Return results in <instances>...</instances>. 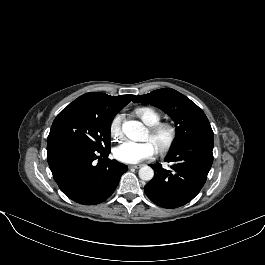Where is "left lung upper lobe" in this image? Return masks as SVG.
I'll use <instances>...</instances> for the list:
<instances>
[{
	"label": "left lung upper lobe",
	"instance_id": "5c2ea615",
	"mask_svg": "<svg viewBox=\"0 0 265 265\" xmlns=\"http://www.w3.org/2000/svg\"><path fill=\"white\" fill-rule=\"evenodd\" d=\"M133 102L151 104L171 116L177 125V141L172 150L197 134L212 131L209 120L202 109L174 89L162 88L149 94L134 96Z\"/></svg>",
	"mask_w": 265,
	"mask_h": 265
}]
</instances>
